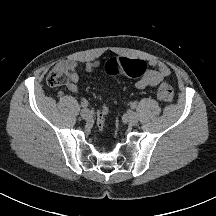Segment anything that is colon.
<instances>
[{
  "label": "colon",
  "mask_w": 216,
  "mask_h": 216,
  "mask_svg": "<svg viewBox=\"0 0 216 216\" xmlns=\"http://www.w3.org/2000/svg\"><path fill=\"white\" fill-rule=\"evenodd\" d=\"M109 75H122L129 77H140L146 70V64L141 60L128 58H113L106 64ZM68 71L63 63L54 66L50 71L47 82L51 87H60L65 84ZM157 96L164 103H171L173 100V90L167 83H161L157 88ZM109 106L104 104L97 113V122L100 127H104L109 116Z\"/></svg>",
  "instance_id": "1"
}]
</instances>
